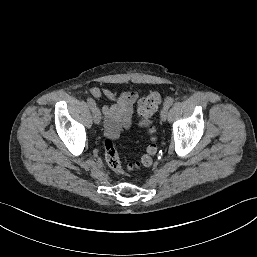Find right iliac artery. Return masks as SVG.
Returning <instances> with one entry per match:
<instances>
[{"mask_svg":"<svg viewBox=\"0 0 257 257\" xmlns=\"http://www.w3.org/2000/svg\"><path fill=\"white\" fill-rule=\"evenodd\" d=\"M87 103H88L89 107L91 108V110L93 111L94 108L96 107L95 101L92 98H88Z\"/></svg>","mask_w":257,"mask_h":257,"instance_id":"82829eb1","label":"right iliac artery"}]
</instances>
